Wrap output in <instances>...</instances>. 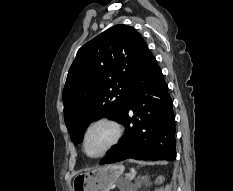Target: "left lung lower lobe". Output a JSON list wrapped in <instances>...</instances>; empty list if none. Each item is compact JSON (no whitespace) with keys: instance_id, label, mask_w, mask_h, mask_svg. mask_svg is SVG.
I'll list each match as a JSON object with an SVG mask.
<instances>
[{"instance_id":"obj_1","label":"left lung lower lobe","mask_w":233,"mask_h":191,"mask_svg":"<svg viewBox=\"0 0 233 191\" xmlns=\"http://www.w3.org/2000/svg\"><path fill=\"white\" fill-rule=\"evenodd\" d=\"M133 111V117L129 112ZM126 127L123 139L101 163L176 159L175 116L162 71L150 53L135 75L120 120Z\"/></svg>"}]
</instances>
